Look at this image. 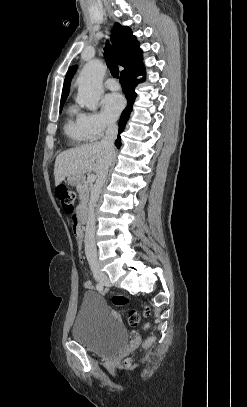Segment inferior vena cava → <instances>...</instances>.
Instances as JSON below:
<instances>
[{"label":"inferior vena cava","mask_w":247,"mask_h":407,"mask_svg":"<svg viewBox=\"0 0 247 407\" xmlns=\"http://www.w3.org/2000/svg\"><path fill=\"white\" fill-rule=\"evenodd\" d=\"M117 134H118V126L116 125V123L114 121H110L107 124L106 135L101 140V145L103 147H105L107 150L113 152L114 142L117 138ZM110 163H111V161L108 163L106 168L98 175L97 181L93 188V196H92L90 204H89L88 220H87L86 232H85V254H86L87 260L90 264L98 263L97 248H96V242H95L96 227H95L94 207H95L96 201L98 200L101 188L103 187V185L105 183Z\"/></svg>","instance_id":"inferior-vena-cava-1"}]
</instances>
